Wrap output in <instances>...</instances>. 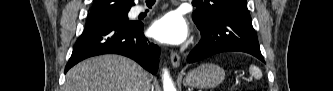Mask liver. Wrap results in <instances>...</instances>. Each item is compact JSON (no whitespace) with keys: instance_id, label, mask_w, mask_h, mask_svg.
<instances>
[{"instance_id":"obj_1","label":"liver","mask_w":333,"mask_h":91,"mask_svg":"<svg viewBox=\"0 0 333 91\" xmlns=\"http://www.w3.org/2000/svg\"><path fill=\"white\" fill-rule=\"evenodd\" d=\"M147 84L148 73L133 60L102 55L71 68L64 91H143Z\"/></svg>"}]
</instances>
